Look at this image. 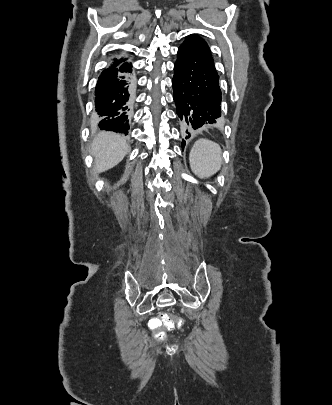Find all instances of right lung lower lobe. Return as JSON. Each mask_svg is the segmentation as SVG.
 <instances>
[{
    "label": "right lung lower lobe",
    "mask_w": 332,
    "mask_h": 405,
    "mask_svg": "<svg viewBox=\"0 0 332 405\" xmlns=\"http://www.w3.org/2000/svg\"><path fill=\"white\" fill-rule=\"evenodd\" d=\"M135 89L131 63L112 64L101 73L95 89V109L103 117L101 129L128 134Z\"/></svg>",
    "instance_id": "obj_1"
}]
</instances>
